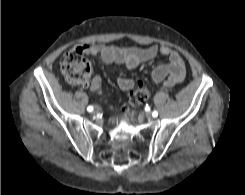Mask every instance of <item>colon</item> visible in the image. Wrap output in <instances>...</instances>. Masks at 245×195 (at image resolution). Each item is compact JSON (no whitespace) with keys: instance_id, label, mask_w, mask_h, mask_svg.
I'll list each match as a JSON object with an SVG mask.
<instances>
[{"instance_id":"obj_1","label":"colon","mask_w":245,"mask_h":195,"mask_svg":"<svg viewBox=\"0 0 245 195\" xmlns=\"http://www.w3.org/2000/svg\"><path fill=\"white\" fill-rule=\"evenodd\" d=\"M61 71L69 83L86 85L91 75L92 66L86 57L85 47H74L69 50L62 60ZM149 94V88L143 82H138L131 90L129 101L124 109L129 110L138 107L147 100Z\"/></svg>"}]
</instances>
